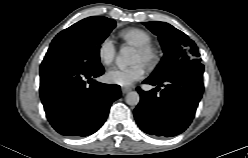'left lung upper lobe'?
<instances>
[{"instance_id":"5c2ea615","label":"left lung upper lobe","mask_w":248,"mask_h":158,"mask_svg":"<svg viewBox=\"0 0 248 158\" xmlns=\"http://www.w3.org/2000/svg\"><path fill=\"white\" fill-rule=\"evenodd\" d=\"M143 24L158 36L164 52V57L150 75L151 78L163 79L183 65L200 62L198 48L186 34L165 22Z\"/></svg>"}]
</instances>
